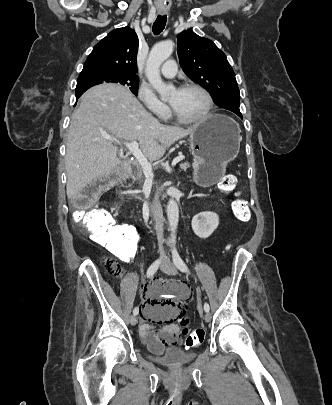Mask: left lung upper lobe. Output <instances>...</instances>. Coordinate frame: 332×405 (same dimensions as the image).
I'll return each instance as SVG.
<instances>
[{
	"label": "left lung upper lobe",
	"mask_w": 332,
	"mask_h": 405,
	"mask_svg": "<svg viewBox=\"0 0 332 405\" xmlns=\"http://www.w3.org/2000/svg\"><path fill=\"white\" fill-rule=\"evenodd\" d=\"M177 51L185 74L203 86L218 106L233 111L240 101L239 88L225 54L214 42L185 30L177 36Z\"/></svg>",
	"instance_id": "left-lung-upper-lobe-1"
}]
</instances>
